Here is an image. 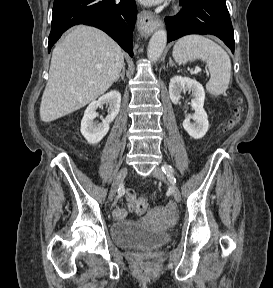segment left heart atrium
Here are the masks:
<instances>
[{"mask_svg": "<svg viewBox=\"0 0 273 288\" xmlns=\"http://www.w3.org/2000/svg\"><path fill=\"white\" fill-rule=\"evenodd\" d=\"M139 1L144 3V4H153L159 0H139Z\"/></svg>", "mask_w": 273, "mask_h": 288, "instance_id": "left-heart-atrium-1", "label": "left heart atrium"}]
</instances>
